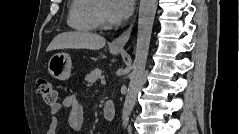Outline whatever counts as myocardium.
<instances>
[{
    "label": "myocardium",
    "mask_w": 239,
    "mask_h": 134,
    "mask_svg": "<svg viewBox=\"0 0 239 134\" xmlns=\"http://www.w3.org/2000/svg\"><path fill=\"white\" fill-rule=\"evenodd\" d=\"M99 2L100 1H96L95 7H94L95 20H96L97 26H99L102 29H108L111 27V24L105 20Z\"/></svg>",
    "instance_id": "obj_1"
}]
</instances>
